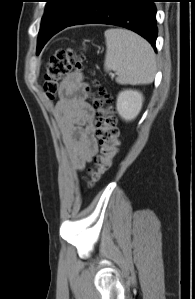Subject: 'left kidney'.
<instances>
[{"mask_svg":"<svg viewBox=\"0 0 195 299\" xmlns=\"http://www.w3.org/2000/svg\"><path fill=\"white\" fill-rule=\"evenodd\" d=\"M143 104V96L136 90H124L117 97V111L120 117L131 121L137 117Z\"/></svg>","mask_w":195,"mask_h":299,"instance_id":"5707ae66","label":"left kidney"}]
</instances>
